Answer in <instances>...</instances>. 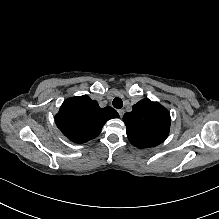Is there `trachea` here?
I'll return each mask as SVG.
<instances>
[{
    "instance_id": "1",
    "label": "trachea",
    "mask_w": 219,
    "mask_h": 219,
    "mask_svg": "<svg viewBox=\"0 0 219 219\" xmlns=\"http://www.w3.org/2000/svg\"><path fill=\"white\" fill-rule=\"evenodd\" d=\"M113 106L117 109H121L123 107V102L120 98L116 97L113 99L112 102Z\"/></svg>"
}]
</instances>
